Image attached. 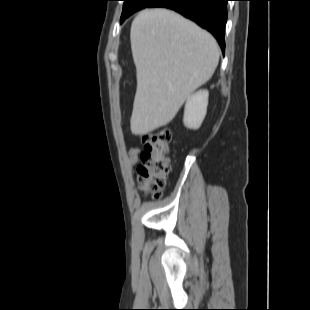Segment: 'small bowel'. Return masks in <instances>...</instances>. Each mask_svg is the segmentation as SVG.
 <instances>
[{"mask_svg": "<svg viewBox=\"0 0 310 310\" xmlns=\"http://www.w3.org/2000/svg\"><path fill=\"white\" fill-rule=\"evenodd\" d=\"M141 150L139 147L133 146L129 148L128 150V163L132 166L137 165L139 162V156H140Z\"/></svg>", "mask_w": 310, "mask_h": 310, "instance_id": "c3829d8e", "label": "small bowel"}]
</instances>
